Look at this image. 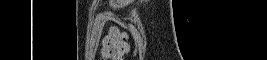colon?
Wrapping results in <instances>:
<instances>
[{"label": "colon", "instance_id": "5ec220e1", "mask_svg": "<svg viewBox=\"0 0 267 60\" xmlns=\"http://www.w3.org/2000/svg\"><path fill=\"white\" fill-rule=\"evenodd\" d=\"M129 51L126 35L122 32H111L103 42L102 56L105 59H121Z\"/></svg>", "mask_w": 267, "mask_h": 60}]
</instances>
